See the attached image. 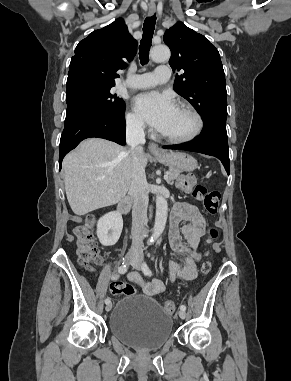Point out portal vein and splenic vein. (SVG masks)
Listing matches in <instances>:
<instances>
[{"instance_id": "obj_1", "label": "portal vein and splenic vein", "mask_w": 291, "mask_h": 381, "mask_svg": "<svg viewBox=\"0 0 291 381\" xmlns=\"http://www.w3.org/2000/svg\"><path fill=\"white\" fill-rule=\"evenodd\" d=\"M168 177H169V176H168V173H166V174L164 175V179L167 180Z\"/></svg>"}]
</instances>
